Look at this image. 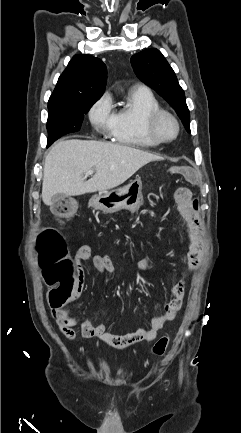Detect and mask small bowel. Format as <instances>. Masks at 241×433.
Masks as SVG:
<instances>
[{
	"mask_svg": "<svg viewBox=\"0 0 241 433\" xmlns=\"http://www.w3.org/2000/svg\"><path fill=\"white\" fill-rule=\"evenodd\" d=\"M175 202L179 213L187 222L190 240L189 251L183 256V261L186 263L189 271L196 270L200 266L205 251L201 234V220L198 215V205L192 197V192L187 188H179L175 192ZM89 259H91L94 268L100 273L109 275L115 273L114 264L108 256H92L91 249L88 245L81 246L74 256V269L77 283L76 293L70 301L78 296L83 287L84 275L81 261ZM141 266L144 269H151L154 266V261L152 259L145 260L142 262ZM171 293L172 297L167 302L162 315L152 318L148 325L127 334L107 332L105 324H93L90 320H80L73 317L67 309L57 312L52 308L51 312L60 331L69 341L75 340V330L78 329L86 339H95L114 348L126 349L140 342L153 341L157 333L176 317L183 303L185 293L184 282L179 281L176 283L172 287Z\"/></svg>",
	"mask_w": 241,
	"mask_h": 433,
	"instance_id": "small-bowel-1",
	"label": "small bowel"
}]
</instances>
